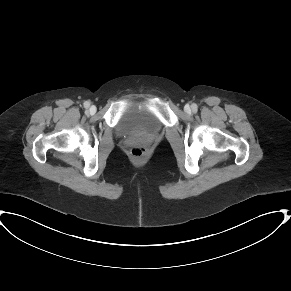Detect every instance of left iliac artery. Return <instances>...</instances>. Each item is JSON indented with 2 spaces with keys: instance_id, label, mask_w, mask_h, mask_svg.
Masks as SVG:
<instances>
[{
  "instance_id": "left-iliac-artery-1",
  "label": "left iliac artery",
  "mask_w": 291,
  "mask_h": 291,
  "mask_svg": "<svg viewBox=\"0 0 291 291\" xmlns=\"http://www.w3.org/2000/svg\"><path fill=\"white\" fill-rule=\"evenodd\" d=\"M191 107H192V110H193V111H197L198 106H197L196 104H192Z\"/></svg>"
}]
</instances>
